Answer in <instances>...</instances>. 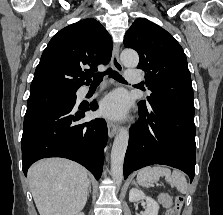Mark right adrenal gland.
Listing matches in <instances>:
<instances>
[{
    "label": "right adrenal gland",
    "mask_w": 223,
    "mask_h": 215,
    "mask_svg": "<svg viewBox=\"0 0 223 215\" xmlns=\"http://www.w3.org/2000/svg\"><path fill=\"white\" fill-rule=\"evenodd\" d=\"M91 191H92V187H91V183H89L88 197H89V193H91Z\"/></svg>",
    "instance_id": "right-adrenal-gland-1"
}]
</instances>
